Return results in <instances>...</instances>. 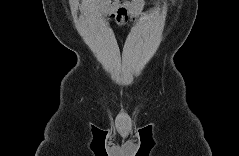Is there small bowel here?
<instances>
[{
    "label": "small bowel",
    "mask_w": 239,
    "mask_h": 156,
    "mask_svg": "<svg viewBox=\"0 0 239 156\" xmlns=\"http://www.w3.org/2000/svg\"><path fill=\"white\" fill-rule=\"evenodd\" d=\"M146 3L143 0H103L84 3L83 8L89 12L100 11L114 17L117 26L121 27L127 22L136 23L146 19L144 13Z\"/></svg>",
    "instance_id": "obj_1"
}]
</instances>
